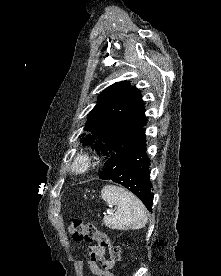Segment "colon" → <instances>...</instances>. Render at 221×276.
<instances>
[{
	"label": "colon",
	"mask_w": 221,
	"mask_h": 276,
	"mask_svg": "<svg viewBox=\"0 0 221 276\" xmlns=\"http://www.w3.org/2000/svg\"><path fill=\"white\" fill-rule=\"evenodd\" d=\"M69 234L75 241L95 243V246L108 250L110 258L108 259L107 266L110 269L120 261V248L113 245L108 236L101 233L93 222L74 218L69 224Z\"/></svg>",
	"instance_id": "5ec220e1"
}]
</instances>
